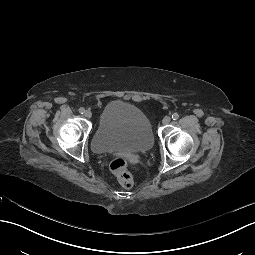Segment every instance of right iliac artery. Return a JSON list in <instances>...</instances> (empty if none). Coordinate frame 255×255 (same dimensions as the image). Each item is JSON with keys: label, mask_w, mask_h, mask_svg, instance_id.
<instances>
[{"label": "right iliac artery", "mask_w": 255, "mask_h": 255, "mask_svg": "<svg viewBox=\"0 0 255 255\" xmlns=\"http://www.w3.org/2000/svg\"><path fill=\"white\" fill-rule=\"evenodd\" d=\"M79 112L83 114L85 112V109L83 107L79 108Z\"/></svg>", "instance_id": "right-iliac-artery-1"}]
</instances>
